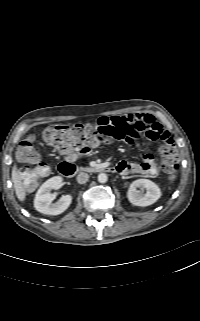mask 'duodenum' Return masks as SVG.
Segmentation results:
<instances>
[{"instance_id": "1", "label": "duodenum", "mask_w": 200, "mask_h": 321, "mask_svg": "<svg viewBox=\"0 0 200 321\" xmlns=\"http://www.w3.org/2000/svg\"><path fill=\"white\" fill-rule=\"evenodd\" d=\"M59 172L64 177H72L74 176L78 171H84L88 173H100V172H116L115 167H110L106 165H95L85 168L78 169L75 165L69 162H63L59 165Z\"/></svg>"}]
</instances>
